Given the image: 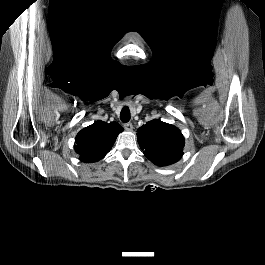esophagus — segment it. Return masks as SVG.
I'll use <instances>...</instances> for the list:
<instances>
[{
    "label": "esophagus",
    "mask_w": 265,
    "mask_h": 265,
    "mask_svg": "<svg viewBox=\"0 0 265 265\" xmlns=\"http://www.w3.org/2000/svg\"><path fill=\"white\" fill-rule=\"evenodd\" d=\"M124 128H125L126 131L130 132V131L133 130V125H132V123L128 122V123L124 124Z\"/></svg>",
    "instance_id": "34e87169"
}]
</instances>
